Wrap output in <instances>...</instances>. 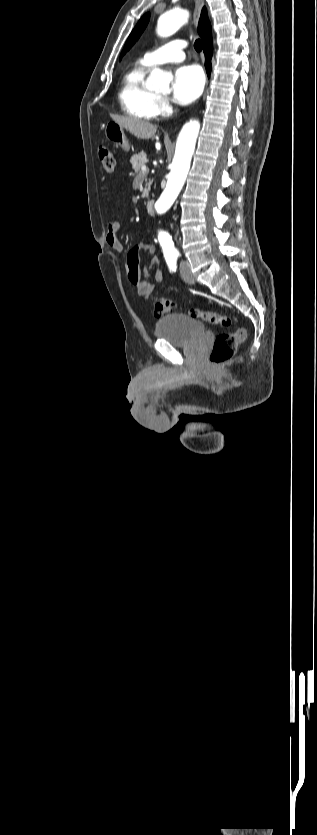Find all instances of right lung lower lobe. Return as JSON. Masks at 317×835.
<instances>
[{
  "instance_id": "98d812e1",
  "label": "right lung lower lobe",
  "mask_w": 317,
  "mask_h": 835,
  "mask_svg": "<svg viewBox=\"0 0 317 835\" xmlns=\"http://www.w3.org/2000/svg\"><path fill=\"white\" fill-rule=\"evenodd\" d=\"M202 39L204 41V54H205V67L207 74L211 71V57L213 53V43H212V31L211 28H207L205 33L202 35Z\"/></svg>"
}]
</instances>
